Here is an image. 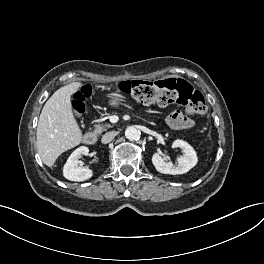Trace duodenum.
Returning <instances> with one entry per match:
<instances>
[{"label":"duodenum","instance_id":"1","mask_svg":"<svg viewBox=\"0 0 264 264\" xmlns=\"http://www.w3.org/2000/svg\"><path fill=\"white\" fill-rule=\"evenodd\" d=\"M84 142L87 145H94L97 142V136L94 132H87L84 136Z\"/></svg>","mask_w":264,"mask_h":264}]
</instances>
